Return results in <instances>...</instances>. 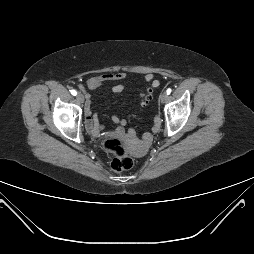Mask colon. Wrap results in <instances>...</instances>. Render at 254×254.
I'll return each mask as SVG.
<instances>
[{
    "mask_svg": "<svg viewBox=\"0 0 254 254\" xmlns=\"http://www.w3.org/2000/svg\"><path fill=\"white\" fill-rule=\"evenodd\" d=\"M104 148L114 155L111 168L115 172L131 169L134 165L133 158L127 153L123 142L115 137L108 138L104 142Z\"/></svg>",
    "mask_w": 254,
    "mask_h": 254,
    "instance_id": "1",
    "label": "colon"
}]
</instances>
